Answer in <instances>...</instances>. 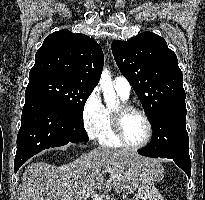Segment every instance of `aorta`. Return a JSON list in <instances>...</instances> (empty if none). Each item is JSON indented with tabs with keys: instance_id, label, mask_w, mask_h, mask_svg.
<instances>
[{
	"instance_id": "1",
	"label": "aorta",
	"mask_w": 205,
	"mask_h": 200,
	"mask_svg": "<svg viewBox=\"0 0 205 200\" xmlns=\"http://www.w3.org/2000/svg\"><path fill=\"white\" fill-rule=\"evenodd\" d=\"M100 86L102 88V92L104 95V100L106 103V106L108 108H112L116 105V93L114 91L113 85H112V79L110 72L107 68H104L101 77H100Z\"/></svg>"
}]
</instances>
